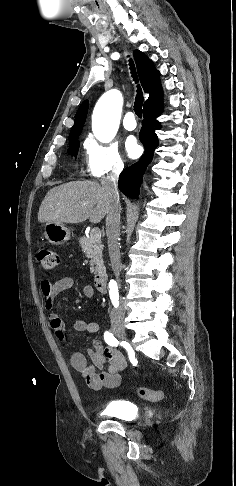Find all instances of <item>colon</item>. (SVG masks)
I'll list each match as a JSON object with an SVG mask.
<instances>
[{
	"label": "colon",
	"mask_w": 236,
	"mask_h": 486,
	"mask_svg": "<svg viewBox=\"0 0 236 486\" xmlns=\"http://www.w3.org/2000/svg\"><path fill=\"white\" fill-rule=\"evenodd\" d=\"M37 260L44 270L50 271L57 267L59 263L58 255L50 248H42L37 253ZM137 393L140 398L158 402L163 399L164 393L160 390H152L147 387H138Z\"/></svg>",
	"instance_id": "5ec220e1"
}]
</instances>
